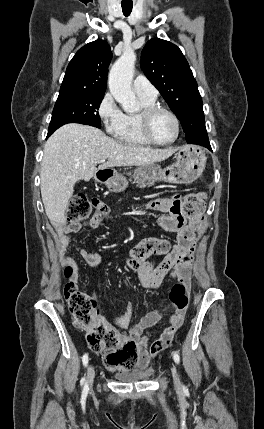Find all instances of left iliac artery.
Wrapping results in <instances>:
<instances>
[{
	"mask_svg": "<svg viewBox=\"0 0 264 429\" xmlns=\"http://www.w3.org/2000/svg\"><path fill=\"white\" fill-rule=\"evenodd\" d=\"M173 359H174L175 363L179 364L180 356L178 355V353H176V352L173 353Z\"/></svg>",
	"mask_w": 264,
	"mask_h": 429,
	"instance_id": "left-iliac-artery-1",
	"label": "left iliac artery"
}]
</instances>
